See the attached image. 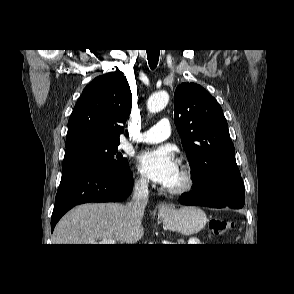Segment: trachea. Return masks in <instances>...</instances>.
<instances>
[{
    "mask_svg": "<svg viewBox=\"0 0 294 294\" xmlns=\"http://www.w3.org/2000/svg\"><path fill=\"white\" fill-rule=\"evenodd\" d=\"M146 51L149 66L151 69H155L159 60V49H150Z\"/></svg>",
    "mask_w": 294,
    "mask_h": 294,
    "instance_id": "3493384b",
    "label": "trachea"
}]
</instances>
